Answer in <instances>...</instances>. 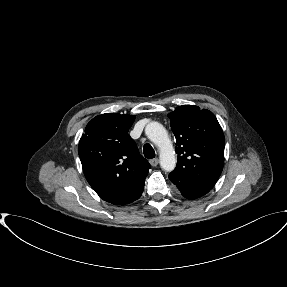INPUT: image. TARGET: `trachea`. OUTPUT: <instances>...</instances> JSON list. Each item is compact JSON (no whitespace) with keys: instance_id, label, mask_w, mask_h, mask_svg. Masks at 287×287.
Instances as JSON below:
<instances>
[{"instance_id":"1","label":"trachea","mask_w":287,"mask_h":287,"mask_svg":"<svg viewBox=\"0 0 287 287\" xmlns=\"http://www.w3.org/2000/svg\"><path fill=\"white\" fill-rule=\"evenodd\" d=\"M143 153L144 156L148 159H152L155 157V151L153 147L148 143L143 146Z\"/></svg>"}]
</instances>
